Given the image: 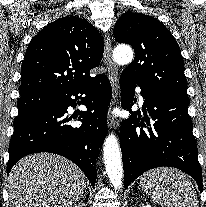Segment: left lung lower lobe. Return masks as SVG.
I'll list each match as a JSON object with an SVG mask.
<instances>
[{
  "mask_svg": "<svg viewBox=\"0 0 206 207\" xmlns=\"http://www.w3.org/2000/svg\"><path fill=\"white\" fill-rule=\"evenodd\" d=\"M120 86L122 107L131 113L122 122L119 136L125 189L147 170L167 166L192 176L202 192L201 167L188 114L189 98L141 87L123 75ZM136 86L141 88L144 99L142 114L131 111Z\"/></svg>",
  "mask_w": 206,
  "mask_h": 207,
  "instance_id": "left-lung-lower-lobe-1",
  "label": "left lung lower lobe"
}]
</instances>
